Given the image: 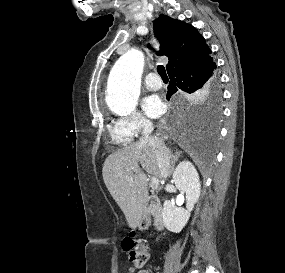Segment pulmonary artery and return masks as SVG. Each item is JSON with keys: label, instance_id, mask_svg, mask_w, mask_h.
Instances as JSON below:
<instances>
[{"label": "pulmonary artery", "instance_id": "e3ab8cb5", "mask_svg": "<svg viewBox=\"0 0 285 273\" xmlns=\"http://www.w3.org/2000/svg\"><path fill=\"white\" fill-rule=\"evenodd\" d=\"M144 84L149 90H159L162 87V81L155 72L146 75Z\"/></svg>", "mask_w": 285, "mask_h": 273}]
</instances>
